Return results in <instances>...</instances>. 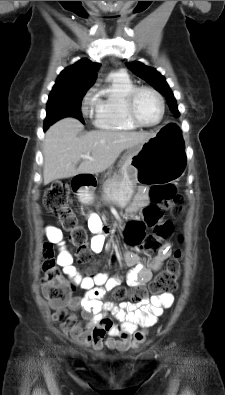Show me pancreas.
Here are the masks:
<instances>
[{
  "instance_id": "1",
  "label": "pancreas",
  "mask_w": 225,
  "mask_h": 395,
  "mask_svg": "<svg viewBox=\"0 0 225 395\" xmlns=\"http://www.w3.org/2000/svg\"><path fill=\"white\" fill-rule=\"evenodd\" d=\"M121 182L120 177H114L113 179H110L111 187L119 185Z\"/></svg>"
}]
</instances>
